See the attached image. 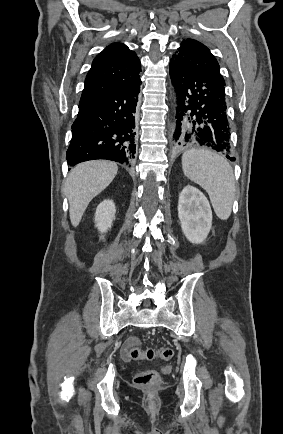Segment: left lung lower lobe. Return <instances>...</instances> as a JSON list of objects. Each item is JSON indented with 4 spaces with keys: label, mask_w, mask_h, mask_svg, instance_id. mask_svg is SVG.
Here are the masks:
<instances>
[{
    "label": "left lung lower lobe",
    "mask_w": 283,
    "mask_h": 434,
    "mask_svg": "<svg viewBox=\"0 0 283 434\" xmlns=\"http://www.w3.org/2000/svg\"><path fill=\"white\" fill-rule=\"evenodd\" d=\"M170 76L176 92L173 141L177 146H202L222 154L230 151L225 87L173 59ZM234 161V157L226 155Z\"/></svg>",
    "instance_id": "0a47b994"
}]
</instances>
